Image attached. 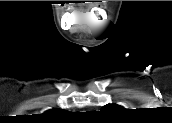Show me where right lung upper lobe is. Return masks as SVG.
Returning <instances> with one entry per match:
<instances>
[{
    "label": "right lung upper lobe",
    "instance_id": "1",
    "mask_svg": "<svg viewBox=\"0 0 172 123\" xmlns=\"http://www.w3.org/2000/svg\"><path fill=\"white\" fill-rule=\"evenodd\" d=\"M60 112H63V111L57 110V109H51V110L46 111L45 114L47 116H53V115L60 114Z\"/></svg>",
    "mask_w": 172,
    "mask_h": 123
}]
</instances>
